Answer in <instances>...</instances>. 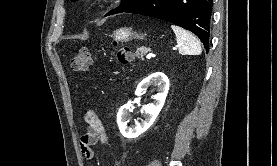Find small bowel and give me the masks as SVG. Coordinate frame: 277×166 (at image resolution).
Segmentation results:
<instances>
[{"mask_svg":"<svg viewBox=\"0 0 277 166\" xmlns=\"http://www.w3.org/2000/svg\"><path fill=\"white\" fill-rule=\"evenodd\" d=\"M85 122L87 123V130L81 136L80 149L86 160H92L94 158L92 146L97 143L105 144L107 135L103 124L94 113H87Z\"/></svg>","mask_w":277,"mask_h":166,"instance_id":"c3829d8e","label":"small bowel"}]
</instances>
